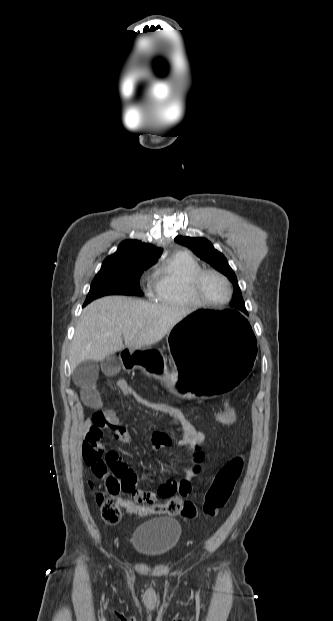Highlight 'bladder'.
I'll return each instance as SVG.
<instances>
[{
  "mask_svg": "<svg viewBox=\"0 0 333 621\" xmlns=\"http://www.w3.org/2000/svg\"><path fill=\"white\" fill-rule=\"evenodd\" d=\"M181 536L182 527L178 520L157 517L134 530L132 544L138 554L146 558H160L177 548Z\"/></svg>",
  "mask_w": 333,
  "mask_h": 621,
  "instance_id": "1",
  "label": "bladder"
}]
</instances>
